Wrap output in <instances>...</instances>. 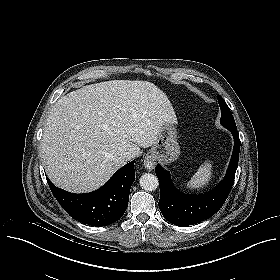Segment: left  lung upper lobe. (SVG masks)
<instances>
[{
	"mask_svg": "<svg viewBox=\"0 0 280 280\" xmlns=\"http://www.w3.org/2000/svg\"><path fill=\"white\" fill-rule=\"evenodd\" d=\"M218 103H219L220 109H221L220 123L227 129H237L235 121H234V117H233L228 105L223 100V98L219 95H218Z\"/></svg>",
	"mask_w": 280,
	"mask_h": 280,
	"instance_id": "left-lung-upper-lobe-1",
	"label": "left lung upper lobe"
}]
</instances>
